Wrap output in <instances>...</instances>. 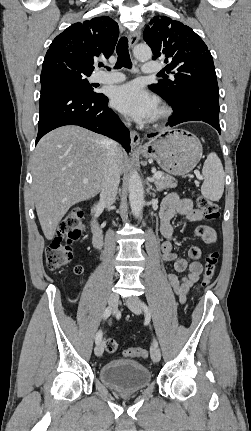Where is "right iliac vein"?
<instances>
[{
  "mask_svg": "<svg viewBox=\"0 0 251 431\" xmlns=\"http://www.w3.org/2000/svg\"><path fill=\"white\" fill-rule=\"evenodd\" d=\"M118 300H119V296L116 293L112 292L109 295L108 305L112 310H114L117 307ZM94 352H95L96 356H101L103 354V352H104V342L103 341H100L99 343H97Z\"/></svg>",
  "mask_w": 251,
  "mask_h": 431,
  "instance_id": "1",
  "label": "right iliac vein"
}]
</instances>
